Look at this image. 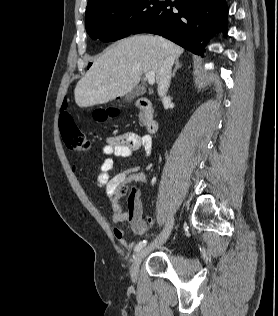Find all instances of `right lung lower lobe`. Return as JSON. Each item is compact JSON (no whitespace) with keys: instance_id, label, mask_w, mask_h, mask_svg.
<instances>
[{"instance_id":"1","label":"right lung lower lobe","mask_w":278,"mask_h":316,"mask_svg":"<svg viewBox=\"0 0 278 316\" xmlns=\"http://www.w3.org/2000/svg\"><path fill=\"white\" fill-rule=\"evenodd\" d=\"M172 7L178 12H173ZM225 0H175L160 2L152 17L132 34L149 32L161 35L187 50L202 54L206 41L226 26ZM202 42V44H201Z\"/></svg>"}]
</instances>
